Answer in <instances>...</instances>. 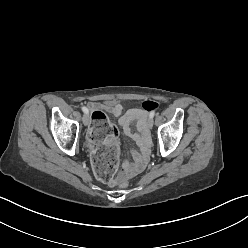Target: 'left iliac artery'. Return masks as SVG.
I'll use <instances>...</instances> for the list:
<instances>
[{
    "label": "left iliac artery",
    "mask_w": 248,
    "mask_h": 248,
    "mask_svg": "<svg viewBox=\"0 0 248 248\" xmlns=\"http://www.w3.org/2000/svg\"><path fill=\"white\" fill-rule=\"evenodd\" d=\"M155 116V111H152L150 114H149V118H153Z\"/></svg>",
    "instance_id": "left-iliac-artery-1"
}]
</instances>
